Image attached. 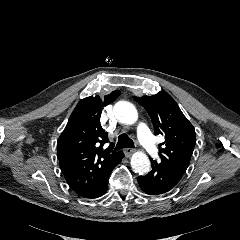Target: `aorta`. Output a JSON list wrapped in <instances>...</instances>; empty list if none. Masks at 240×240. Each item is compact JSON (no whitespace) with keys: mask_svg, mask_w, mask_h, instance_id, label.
<instances>
[{"mask_svg":"<svg viewBox=\"0 0 240 240\" xmlns=\"http://www.w3.org/2000/svg\"><path fill=\"white\" fill-rule=\"evenodd\" d=\"M114 114L119 122L131 125L138 119V113L133 104L120 101L114 106ZM131 167L137 174H146L150 171L151 163L148 156L143 152H135L131 157Z\"/></svg>","mask_w":240,"mask_h":240,"instance_id":"obj_1","label":"aorta"}]
</instances>
